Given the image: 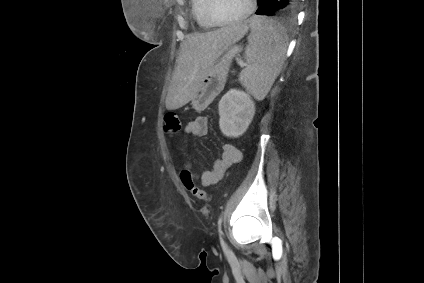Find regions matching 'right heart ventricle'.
Wrapping results in <instances>:
<instances>
[{
	"mask_svg": "<svg viewBox=\"0 0 424 283\" xmlns=\"http://www.w3.org/2000/svg\"><path fill=\"white\" fill-rule=\"evenodd\" d=\"M206 0H191V11L194 20L203 29H212L214 25L210 23L205 15Z\"/></svg>",
	"mask_w": 424,
	"mask_h": 283,
	"instance_id": "1",
	"label": "right heart ventricle"
}]
</instances>
